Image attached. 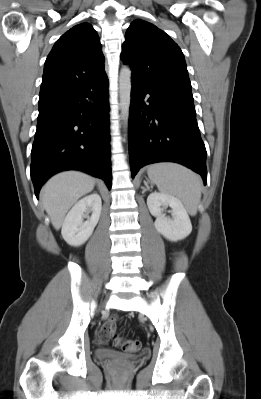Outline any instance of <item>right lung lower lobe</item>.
Listing matches in <instances>:
<instances>
[{
    "label": "right lung lower lobe",
    "instance_id": "1",
    "mask_svg": "<svg viewBox=\"0 0 261 399\" xmlns=\"http://www.w3.org/2000/svg\"><path fill=\"white\" fill-rule=\"evenodd\" d=\"M108 78L39 99L31 151V178L41 186L57 172L76 169L105 180L111 188Z\"/></svg>",
    "mask_w": 261,
    "mask_h": 399
}]
</instances>
